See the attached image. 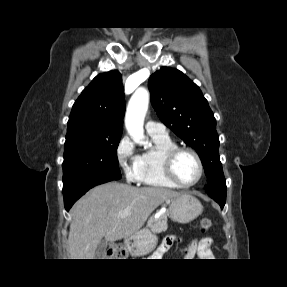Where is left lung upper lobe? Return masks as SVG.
<instances>
[{
  "mask_svg": "<svg viewBox=\"0 0 287 287\" xmlns=\"http://www.w3.org/2000/svg\"><path fill=\"white\" fill-rule=\"evenodd\" d=\"M148 86L160 120L200 156L207 194L226 199L216 120L199 87L181 71L169 67L152 74Z\"/></svg>",
  "mask_w": 287,
  "mask_h": 287,
  "instance_id": "obj_1",
  "label": "left lung upper lobe"
}]
</instances>
